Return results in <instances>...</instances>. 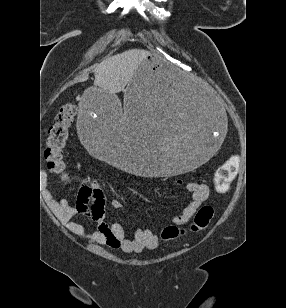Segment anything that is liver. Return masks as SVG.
Returning a JSON list of instances; mask_svg holds the SVG:
<instances>
[{
    "mask_svg": "<svg viewBox=\"0 0 286 308\" xmlns=\"http://www.w3.org/2000/svg\"><path fill=\"white\" fill-rule=\"evenodd\" d=\"M149 55L146 50L131 49L108 57L96 66L94 85L114 95L123 91L137 67Z\"/></svg>",
    "mask_w": 286,
    "mask_h": 308,
    "instance_id": "liver-1",
    "label": "liver"
}]
</instances>
